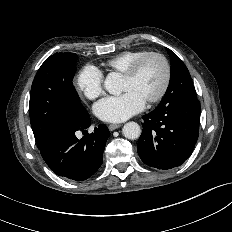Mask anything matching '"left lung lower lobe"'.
<instances>
[{"instance_id":"1","label":"left lung lower lobe","mask_w":232,"mask_h":232,"mask_svg":"<svg viewBox=\"0 0 232 232\" xmlns=\"http://www.w3.org/2000/svg\"><path fill=\"white\" fill-rule=\"evenodd\" d=\"M137 151L148 166L168 170L187 160L199 134L200 102L182 97L143 116Z\"/></svg>"}]
</instances>
